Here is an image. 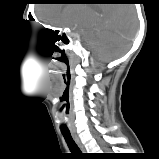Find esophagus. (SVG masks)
Returning a JSON list of instances; mask_svg holds the SVG:
<instances>
[{
    "mask_svg": "<svg viewBox=\"0 0 159 159\" xmlns=\"http://www.w3.org/2000/svg\"><path fill=\"white\" fill-rule=\"evenodd\" d=\"M73 138L76 142V144L79 146V148L81 149V151H84V146L82 145V143L80 142L79 138L77 137V135L73 134Z\"/></svg>",
    "mask_w": 159,
    "mask_h": 159,
    "instance_id": "obj_1",
    "label": "esophagus"
}]
</instances>
